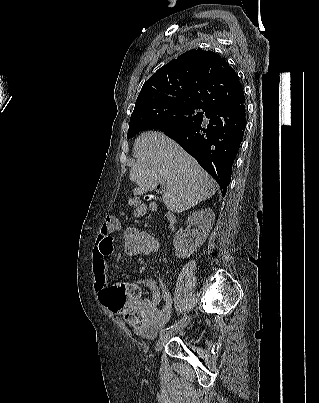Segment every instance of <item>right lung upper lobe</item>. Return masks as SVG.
Returning a JSON list of instances; mask_svg holds the SVG:
<instances>
[{"label":"right lung upper lobe","instance_id":"1","mask_svg":"<svg viewBox=\"0 0 319 403\" xmlns=\"http://www.w3.org/2000/svg\"><path fill=\"white\" fill-rule=\"evenodd\" d=\"M242 102V86L226 60L215 52L193 49L161 67L144 83L131 117L157 104H190L208 112Z\"/></svg>","mask_w":319,"mask_h":403}]
</instances>
